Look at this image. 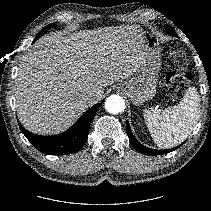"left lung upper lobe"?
<instances>
[{
  "mask_svg": "<svg viewBox=\"0 0 211 211\" xmlns=\"http://www.w3.org/2000/svg\"><path fill=\"white\" fill-rule=\"evenodd\" d=\"M166 28V31L171 35V36H174V37H178L176 32L171 28L169 27L168 25L165 26Z\"/></svg>",
  "mask_w": 211,
  "mask_h": 211,
  "instance_id": "left-lung-upper-lobe-1",
  "label": "left lung upper lobe"
}]
</instances>
